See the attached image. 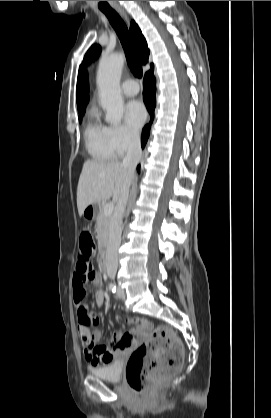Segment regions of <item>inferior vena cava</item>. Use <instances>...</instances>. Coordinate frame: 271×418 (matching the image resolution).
Here are the masks:
<instances>
[{"mask_svg":"<svg viewBox=\"0 0 271 418\" xmlns=\"http://www.w3.org/2000/svg\"><path fill=\"white\" fill-rule=\"evenodd\" d=\"M142 156L140 135L134 133L130 136L127 154L123 158L122 165L127 169L130 178L133 177L136 166ZM129 185L125 187L115 206V211L110 224L109 237L106 250V271L111 279H115L118 267V249L121 244V225L125 207L128 201Z\"/></svg>","mask_w":271,"mask_h":418,"instance_id":"inferior-vena-cava-1","label":"inferior vena cava"}]
</instances>
